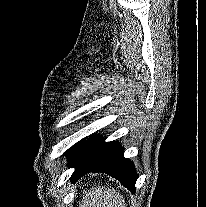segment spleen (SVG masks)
<instances>
[{
  "label": "spleen",
  "mask_w": 206,
  "mask_h": 207,
  "mask_svg": "<svg viewBox=\"0 0 206 207\" xmlns=\"http://www.w3.org/2000/svg\"><path fill=\"white\" fill-rule=\"evenodd\" d=\"M79 207H125V200L115 189L98 186L85 192Z\"/></svg>",
  "instance_id": "spleen-1"
}]
</instances>
